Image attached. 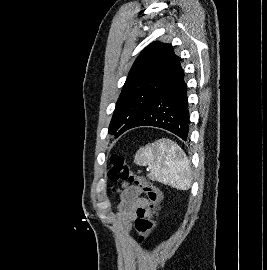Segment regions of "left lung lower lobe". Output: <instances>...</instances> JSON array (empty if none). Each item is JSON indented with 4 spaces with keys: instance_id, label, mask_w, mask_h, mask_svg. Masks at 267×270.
<instances>
[{
    "instance_id": "0a47b994",
    "label": "left lung lower lobe",
    "mask_w": 267,
    "mask_h": 270,
    "mask_svg": "<svg viewBox=\"0 0 267 270\" xmlns=\"http://www.w3.org/2000/svg\"><path fill=\"white\" fill-rule=\"evenodd\" d=\"M189 124L187 87L179 60L164 88L129 129L138 126L159 127L187 141Z\"/></svg>"
}]
</instances>
